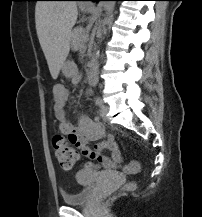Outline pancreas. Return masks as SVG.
<instances>
[{"label":"pancreas","instance_id":"cf45deb5","mask_svg":"<svg viewBox=\"0 0 202 217\" xmlns=\"http://www.w3.org/2000/svg\"><path fill=\"white\" fill-rule=\"evenodd\" d=\"M88 39V32L81 27L75 28L71 33L72 49L78 50Z\"/></svg>","mask_w":202,"mask_h":217}]
</instances>
